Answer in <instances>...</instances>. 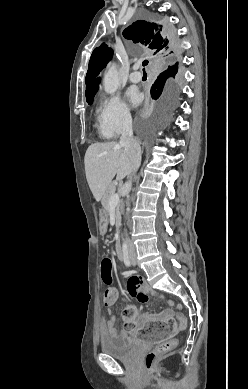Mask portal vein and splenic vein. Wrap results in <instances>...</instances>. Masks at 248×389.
Wrapping results in <instances>:
<instances>
[{"label": "portal vein and splenic vein", "mask_w": 248, "mask_h": 389, "mask_svg": "<svg viewBox=\"0 0 248 389\" xmlns=\"http://www.w3.org/2000/svg\"><path fill=\"white\" fill-rule=\"evenodd\" d=\"M119 202V195L116 193L114 194L110 200H109V206H116Z\"/></svg>", "instance_id": "18ae733b"}]
</instances>
